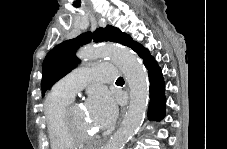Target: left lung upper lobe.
<instances>
[{
	"label": "left lung upper lobe",
	"mask_w": 227,
	"mask_h": 149,
	"mask_svg": "<svg viewBox=\"0 0 227 149\" xmlns=\"http://www.w3.org/2000/svg\"><path fill=\"white\" fill-rule=\"evenodd\" d=\"M130 38L129 35L122 33L118 28L107 25L106 28H98L93 33H83L74 39L64 41L55 46L47 54L42 65V95L76 67L79 60L75 56V51L80 46L89 43L92 39L95 42L111 41L127 45Z\"/></svg>",
	"instance_id": "obj_1"
}]
</instances>
